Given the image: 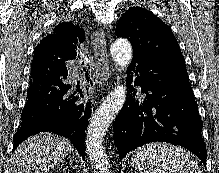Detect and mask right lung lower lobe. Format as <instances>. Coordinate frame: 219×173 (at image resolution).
Returning a JSON list of instances; mask_svg holds the SVG:
<instances>
[{
    "instance_id": "98d812e1",
    "label": "right lung lower lobe",
    "mask_w": 219,
    "mask_h": 173,
    "mask_svg": "<svg viewBox=\"0 0 219 173\" xmlns=\"http://www.w3.org/2000/svg\"><path fill=\"white\" fill-rule=\"evenodd\" d=\"M90 116L91 101L80 87L75 91L68 83L64 63L37 64L31 67L27 103L21 113V127L13 138L14 149L29 136L49 131L69 138L85 159V131Z\"/></svg>"
}]
</instances>
